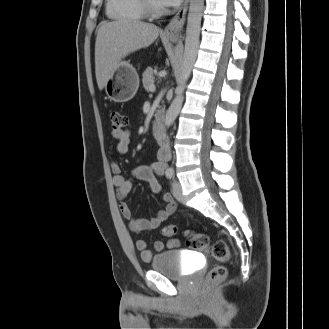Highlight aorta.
<instances>
[{
	"mask_svg": "<svg viewBox=\"0 0 329 329\" xmlns=\"http://www.w3.org/2000/svg\"><path fill=\"white\" fill-rule=\"evenodd\" d=\"M203 8L204 0H190L183 63L181 66V73L177 81L178 85L176 88V96L172 101L169 109L167 110L164 119V125L167 128H169L174 123L182 107L183 93L193 69L199 48V36Z\"/></svg>",
	"mask_w": 329,
	"mask_h": 329,
	"instance_id": "obj_1",
	"label": "aorta"
}]
</instances>
